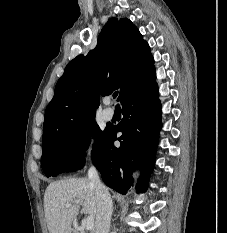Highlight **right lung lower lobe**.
<instances>
[{"instance_id": "1", "label": "right lung lower lobe", "mask_w": 227, "mask_h": 233, "mask_svg": "<svg viewBox=\"0 0 227 233\" xmlns=\"http://www.w3.org/2000/svg\"><path fill=\"white\" fill-rule=\"evenodd\" d=\"M122 113V122L108 129L92 160L105 184L121 194L127 193L133 182V171L140 168L143 175L136 189L138 193L145 192L162 127L157 84L122 103ZM117 132H122L119 138ZM115 140L120 141V147L114 146Z\"/></svg>"}]
</instances>
